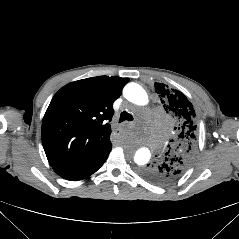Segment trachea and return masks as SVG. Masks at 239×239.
Here are the masks:
<instances>
[{
    "instance_id": "1",
    "label": "trachea",
    "mask_w": 239,
    "mask_h": 239,
    "mask_svg": "<svg viewBox=\"0 0 239 239\" xmlns=\"http://www.w3.org/2000/svg\"><path fill=\"white\" fill-rule=\"evenodd\" d=\"M125 120H128V121L133 120V116L131 114L127 113L126 111L121 113L119 122H123Z\"/></svg>"
}]
</instances>
